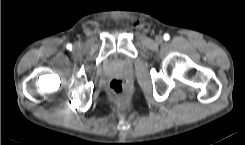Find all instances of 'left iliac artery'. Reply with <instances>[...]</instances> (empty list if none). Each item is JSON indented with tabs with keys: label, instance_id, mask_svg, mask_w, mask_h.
<instances>
[{
	"label": "left iliac artery",
	"instance_id": "44dca946",
	"mask_svg": "<svg viewBox=\"0 0 245 145\" xmlns=\"http://www.w3.org/2000/svg\"><path fill=\"white\" fill-rule=\"evenodd\" d=\"M169 38H170V36L166 33V34L164 35V39L167 41V40H169Z\"/></svg>",
	"mask_w": 245,
	"mask_h": 145
}]
</instances>
